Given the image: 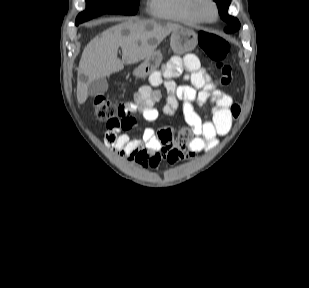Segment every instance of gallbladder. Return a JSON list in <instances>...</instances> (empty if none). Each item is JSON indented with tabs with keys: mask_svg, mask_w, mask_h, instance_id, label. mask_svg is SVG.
Instances as JSON below:
<instances>
[{
	"mask_svg": "<svg viewBox=\"0 0 309 288\" xmlns=\"http://www.w3.org/2000/svg\"><path fill=\"white\" fill-rule=\"evenodd\" d=\"M107 90H108V82L106 78L96 79L88 85V94L92 97L103 94Z\"/></svg>",
	"mask_w": 309,
	"mask_h": 288,
	"instance_id": "obj_1",
	"label": "gallbladder"
}]
</instances>
